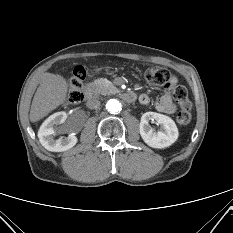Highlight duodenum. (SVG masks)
<instances>
[{
	"mask_svg": "<svg viewBox=\"0 0 233 233\" xmlns=\"http://www.w3.org/2000/svg\"><path fill=\"white\" fill-rule=\"evenodd\" d=\"M95 96V90L92 86H86L84 88V97L87 100L92 99ZM123 98L124 100H126L127 102H134L137 99V96L135 93L133 92H125L123 93Z\"/></svg>",
	"mask_w": 233,
	"mask_h": 233,
	"instance_id": "obj_1",
	"label": "duodenum"
}]
</instances>
